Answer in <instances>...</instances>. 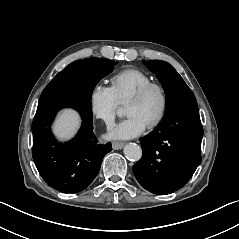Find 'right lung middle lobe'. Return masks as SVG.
I'll return each mask as SVG.
<instances>
[{
	"instance_id": "1",
	"label": "right lung middle lobe",
	"mask_w": 239,
	"mask_h": 239,
	"mask_svg": "<svg viewBox=\"0 0 239 239\" xmlns=\"http://www.w3.org/2000/svg\"><path fill=\"white\" fill-rule=\"evenodd\" d=\"M116 62L102 58H87L70 63L43 90L39 103L71 93H83L89 98L96 84L112 72Z\"/></svg>"
}]
</instances>
